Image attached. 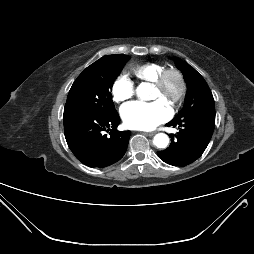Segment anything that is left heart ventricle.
<instances>
[{"instance_id": "left-heart-ventricle-1", "label": "left heart ventricle", "mask_w": 254, "mask_h": 254, "mask_svg": "<svg viewBox=\"0 0 254 254\" xmlns=\"http://www.w3.org/2000/svg\"><path fill=\"white\" fill-rule=\"evenodd\" d=\"M177 81L173 76H168L166 79L165 88L158 90L153 88L150 93V99L158 100L164 105L170 107L177 93Z\"/></svg>"}]
</instances>
